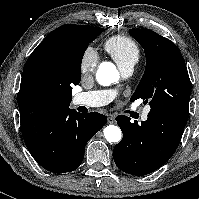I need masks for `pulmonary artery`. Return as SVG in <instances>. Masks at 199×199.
Segmentation results:
<instances>
[{
  "label": "pulmonary artery",
  "instance_id": "1",
  "mask_svg": "<svg viewBox=\"0 0 199 199\" xmlns=\"http://www.w3.org/2000/svg\"><path fill=\"white\" fill-rule=\"evenodd\" d=\"M122 75L128 77L133 72V66H127L121 69ZM116 92L112 90L88 91L76 94L73 97L72 104L74 106L98 107L108 104L115 97ZM149 108H146L141 115V120L148 118Z\"/></svg>",
  "mask_w": 199,
  "mask_h": 199
}]
</instances>
